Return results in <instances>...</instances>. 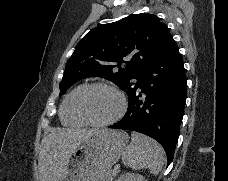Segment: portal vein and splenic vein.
<instances>
[{
	"label": "portal vein and splenic vein",
	"mask_w": 228,
	"mask_h": 181,
	"mask_svg": "<svg viewBox=\"0 0 228 181\" xmlns=\"http://www.w3.org/2000/svg\"><path fill=\"white\" fill-rule=\"evenodd\" d=\"M112 167L115 169L116 174H121L122 168L120 166H118L117 164H114Z\"/></svg>",
	"instance_id": "18ae733b"
}]
</instances>
